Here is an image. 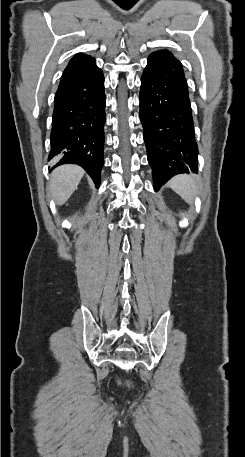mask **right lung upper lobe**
Wrapping results in <instances>:
<instances>
[{
  "label": "right lung upper lobe",
  "instance_id": "1",
  "mask_svg": "<svg viewBox=\"0 0 245 457\" xmlns=\"http://www.w3.org/2000/svg\"><path fill=\"white\" fill-rule=\"evenodd\" d=\"M95 59L91 56L79 53L69 62L63 72L62 78L76 76L97 69Z\"/></svg>",
  "mask_w": 245,
  "mask_h": 457
}]
</instances>
